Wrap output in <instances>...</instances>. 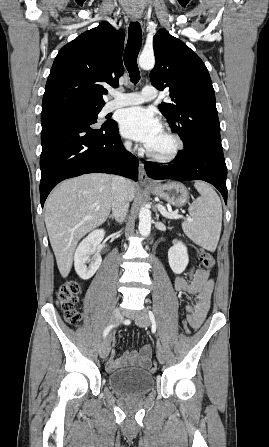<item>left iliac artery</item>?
I'll list each match as a JSON object with an SVG mask.
<instances>
[{
	"mask_svg": "<svg viewBox=\"0 0 269 447\" xmlns=\"http://www.w3.org/2000/svg\"><path fill=\"white\" fill-rule=\"evenodd\" d=\"M149 316L150 317H154V315H153V313L151 311L149 312Z\"/></svg>",
	"mask_w": 269,
	"mask_h": 447,
	"instance_id": "left-iliac-artery-1",
	"label": "left iliac artery"
}]
</instances>
